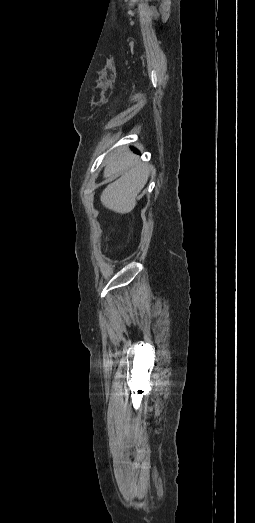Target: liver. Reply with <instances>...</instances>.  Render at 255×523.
<instances>
[{
  "label": "liver",
  "mask_w": 255,
  "mask_h": 523,
  "mask_svg": "<svg viewBox=\"0 0 255 523\" xmlns=\"http://www.w3.org/2000/svg\"><path fill=\"white\" fill-rule=\"evenodd\" d=\"M153 166L139 162L135 154H114L110 164H107L103 178H112L121 174V178L109 184L101 194V202L105 208L116 214H128L134 210L136 198L148 182Z\"/></svg>",
  "instance_id": "obj_1"
}]
</instances>
